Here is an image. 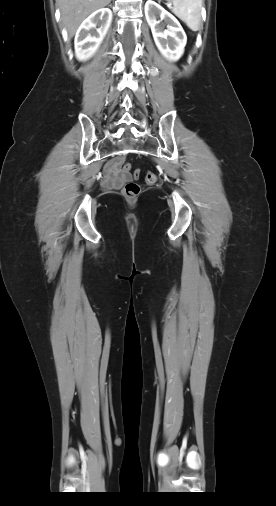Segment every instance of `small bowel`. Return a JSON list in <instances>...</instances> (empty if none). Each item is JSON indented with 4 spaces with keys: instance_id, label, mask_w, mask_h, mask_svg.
<instances>
[{
    "instance_id": "c3829d8e",
    "label": "small bowel",
    "mask_w": 276,
    "mask_h": 506,
    "mask_svg": "<svg viewBox=\"0 0 276 506\" xmlns=\"http://www.w3.org/2000/svg\"><path fill=\"white\" fill-rule=\"evenodd\" d=\"M121 159H115L109 162L105 167L104 185L107 187L118 186L120 183L127 181L130 175L126 172H121L118 165Z\"/></svg>"
}]
</instances>
